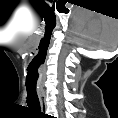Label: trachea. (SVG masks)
Returning <instances> with one entry per match:
<instances>
[{"mask_svg": "<svg viewBox=\"0 0 118 118\" xmlns=\"http://www.w3.org/2000/svg\"><path fill=\"white\" fill-rule=\"evenodd\" d=\"M27 103L30 108L41 112L40 102L36 89L27 88Z\"/></svg>", "mask_w": 118, "mask_h": 118, "instance_id": "trachea-1", "label": "trachea"}]
</instances>
